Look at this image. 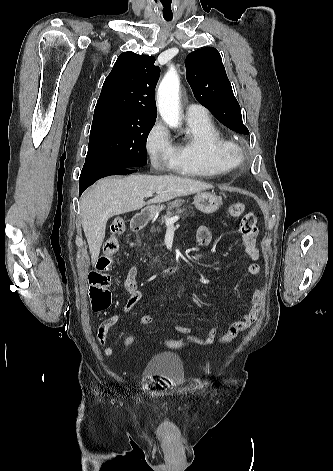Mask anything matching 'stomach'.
<instances>
[{
    "label": "stomach",
    "mask_w": 333,
    "mask_h": 471,
    "mask_svg": "<svg viewBox=\"0 0 333 471\" xmlns=\"http://www.w3.org/2000/svg\"><path fill=\"white\" fill-rule=\"evenodd\" d=\"M182 203H183V200L176 199L169 204V208L179 207L181 206ZM193 204L199 211L206 214H211V213L216 212L221 207L223 202H222V197L217 196L215 193L198 192L194 196ZM154 209L162 210L163 206H156L154 207Z\"/></svg>",
    "instance_id": "0dacf381"
}]
</instances>
